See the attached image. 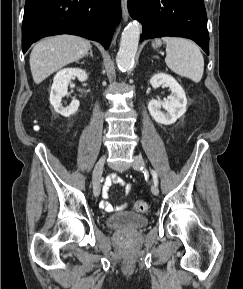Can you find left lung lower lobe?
Listing matches in <instances>:
<instances>
[{
    "mask_svg": "<svg viewBox=\"0 0 243 289\" xmlns=\"http://www.w3.org/2000/svg\"><path fill=\"white\" fill-rule=\"evenodd\" d=\"M128 10L132 18L142 22L140 41L162 36L186 37L209 55L203 0H128Z\"/></svg>",
    "mask_w": 243,
    "mask_h": 289,
    "instance_id": "1",
    "label": "left lung lower lobe"
}]
</instances>
